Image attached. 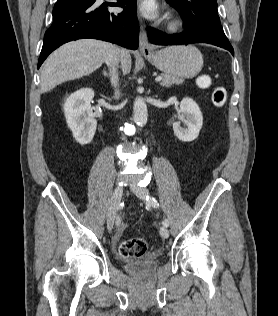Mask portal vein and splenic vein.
<instances>
[{"mask_svg": "<svg viewBox=\"0 0 278 316\" xmlns=\"http://www.w3.org/2000/svg\"><path fill=\"white\" fill-rule=\"evenodd\" d=\"M155 81H156V82H160V81H162V77H160V76H159V77H157V78L155 79Z\"/></svg>", "mask_w": 278, "mask_h": 316, "instance_id": "1", "label": "portal vein and splenic vein"}]
</instances>
